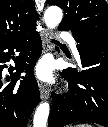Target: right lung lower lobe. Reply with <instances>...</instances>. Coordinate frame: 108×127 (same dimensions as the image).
Masks as SVG:
<instances>
[{
  "label": "right lung lower lobe",
  "instance_id": "obj_1",
  "mask_svg": "<svg viewBox=\"0 0 108 127\" xmlns=\"http://www.w3.org/2000/svg\"><path fill=\"white\" fill-rule=\"evenodd\" d=\"M14 49L19 56L14 58ZM42 52L39 33L33 29L27 34L7 41H0V126L26 127L30 113L39 103L40 95L33 68ZM14 60L15 67L10 66L9 77L4 78L2 71L5 63ZM13 70H16L13 73ZM25 71L27 76L20 79Z\"/></svg>",
  "mask_w": 108,
  "mask_h": 127
}]
</instances>
